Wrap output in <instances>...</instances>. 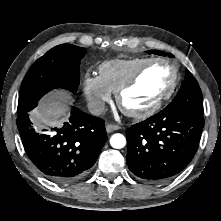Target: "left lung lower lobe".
Returning a JSON list of instances; mask_svg holds the SVG:
<instances>
[{
    "mask_svg": "<svg viewBox=\"0 0 221 221\" xmlns=\"http://www.w3.org/2000/svg\"><path fill=\"white\" fill-rule=\"evenodd\" d=\"M204 118L168 105L126 130L127 165L138 178L165 182L179 174L194 157Z\"/></svg>",
    "mask_w": 221,
    "mask_h": 221,
    "instance_id": "0a47b994",
    "label": "left lung lower lobe"
}]
</instances>
